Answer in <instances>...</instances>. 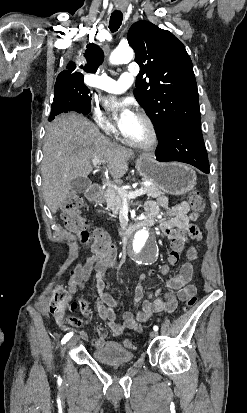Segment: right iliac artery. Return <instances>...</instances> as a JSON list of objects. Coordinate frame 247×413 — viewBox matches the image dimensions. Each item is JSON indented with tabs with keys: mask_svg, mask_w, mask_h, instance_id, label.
I'll return each mask as SVG.
<instances>
[{
	"mask_svg": "<svg viewBox=\"0 0 247 413\" xmlns=\"http://www.w3.org/2000/svg\"><path fill=\"white\" fill-rule=\"evenodd\" d=\"M72 336H73V332L67 333L61 340V344H65Z\"/></svg>",
	"mask_w": 247,
	"mask_h": 413,
	"instance_id": "right-iliac-artery-1",
	"label": "right iliac artery"
}]
</instances>
